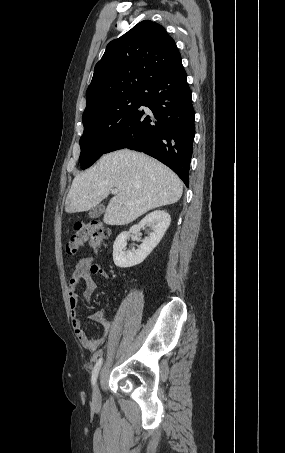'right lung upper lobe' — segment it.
Listing matches in <instances>:
<instances>
[{
	"label": "right lung upper lobe",
	"instance_id": "right-lung-upper-lobe-1",
	"mask_svg": "<svg viewBox=\"0 0 285 453\" xmlns=\"http://www.w3.org/2000/svg\"><path fill=\"white\" fill-rule=\"evenodd\" d=\"M181 63L175 41L158 23L144 20L111 41L96 64L84 112L103 102L144 90L157 76Z\"/></svg>",
	"mask_w": 285,
	"mask_h": 453
}]
</instances>
